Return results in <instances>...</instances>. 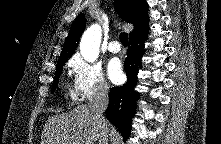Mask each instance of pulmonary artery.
Wrapping results in <instances>:
<instances>
[{"label": "pulmonary artery", "mask_w": 221, "mask_h": 144, "mask_svg": "<svg viewBox=\"0 0 221 144\" xmlns=\"http://www.w3.org/2000/svg\"><path fill=\"white\" fill-rule=\"evenodd\" d=\"M108 50L111 52V53H118L120 52L121 50V47H120V44L118 41H111L109 44H108Z\"/></svg>", "instance_id": "pulmonary-artery-1"}]
</instances>
